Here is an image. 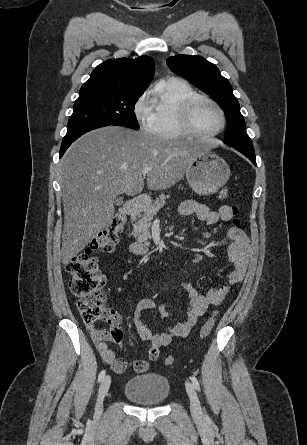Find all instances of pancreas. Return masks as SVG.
Wrapping results in <instances>:
<instances>
[{
  "label": "pancreas",
  "mask_w": 307,
  "mask_h": 445,
  "mask_svg": "<svg viewBox=\"0 0 307 445\" xmlns=\"http://www.w3.org/2000/svg\"><path fill=\"white\" fill-rule=\"evenodd\" d=\"M170 194H159V198H155L153 202H147L143 208V214H137V220L133 223V231L137 241H142L145 245H150L152 239L150 235L151 220L161 206L166 204L165 198H169Z\"/></svg>",
  "instance_id": "1"
}]
</instances>
